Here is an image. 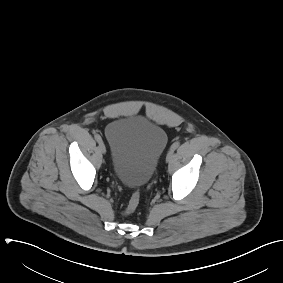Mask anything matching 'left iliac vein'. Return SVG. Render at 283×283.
<instances>
[{
  "mask_svg": "<svg viewBox=\"0 0 283 283\" xmlns=\"http://www.w3.org/2000/svg\"><path fill=\"white\" fill-rule=\"evenodd\" d=\"M172 157H173V151H169L166 155V160L170 161L172 159Z\"/></svg>",
  "mask_w": 283,
  "mask_h": 283,
  "instance_id": "obj_1",
  "label": "left iliac vein"
}]
</instances>
